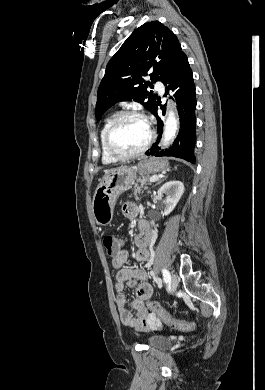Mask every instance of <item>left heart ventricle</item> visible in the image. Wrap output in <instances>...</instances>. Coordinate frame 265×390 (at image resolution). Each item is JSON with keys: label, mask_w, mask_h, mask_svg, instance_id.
Instances as JSON below:
<instances>
[{"label": "left heart ventricle", "mask_w": 265, "mask_h": 390, "mask_svg": "<svg viewBox=\"0 0 265 390\" xmlns=\"http://www.w3.org/2000/svg\"><path fill=\"white\" fill-rule=\"evenodd\" d=\"M149 136L147 125L138 118H126L115 129L113 145L122 153L139 150Z\"/></svg>", "instance_id": "1"}]
</instances>
